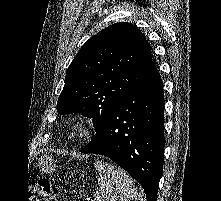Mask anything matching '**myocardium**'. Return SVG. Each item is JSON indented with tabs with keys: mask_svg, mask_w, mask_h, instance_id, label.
Returning a JSON list of instances; mask_svg holds the SVG:
<instances>
[{
	"mask_svg": "<svg viewBox=\"0 0 221 201\" xmlns=\"http://www.w3.org/2000/svg\"><path fill=\"white\" fill-rule=\"evenodd\" d=\"M91 128V122L87 118L78 117L73 121L71 131L77 137H84L90 133Z\"/></svg>",
	"mask_w": 221,
	"mask_h": 201,
	"instance_id": "1",
	"label": "myocardium"
}]
</instances>
